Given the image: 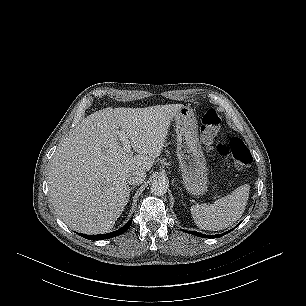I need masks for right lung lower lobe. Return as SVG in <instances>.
<instances>
[{
    "instance_id": "1",
    "label": "right lung lower lobe",
    "mask_w": 306,
    "mask_h": 306,
    "mask_svg": "<svg viewBox=\"0 0 306 306\" xmlns=\"http://www.w3.org/2000/svg\"><path fill=\"white\" fill-rule=\"evenodd\" d=\"M131 222H132V219L129 220L124 227H122L121 229H119L117 231H114L112 233L100 234V235H85V234H79V235L86 238V239H90V240H103V239L115 237V236H118V235L124 233L130 227Z\"/></svg>"
}]
</instances>
